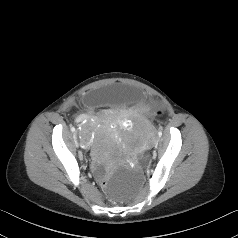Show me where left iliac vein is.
I'll list each match as a JSON object with an SVG mask.
<instances>
[{
  "label": "left iliac vein",
  "instance_id": "1",
  "mask_svg": "<svg viewBox=\"0 0 238 238\" xmlns=\"http://www.w3.org/2000/svg\"><path fill=\"white\" fill-rule=\"evenodd\" d=\"M155 139H156L155 148H158L159 143H160V139H159V137H156Z\"/></svg>",
  "mask_w": 238,
  "mask_h": 238
}]
</instances>
